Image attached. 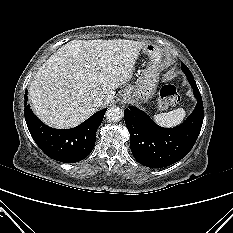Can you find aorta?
I'll return each instance as SVG.
<instances>
[{
    "instance_id": "1",
    "label": "aorta",
    "mask_w": 233,
    "mask_h": 233,
    "mask_svg": "<svg viewBox=\"0 0 233 233\" xmlns=\"http://www.w3.org/2000/svg\"><path fill=\"white\" fill-rule=\"evenodd\" d=\"M123 117V110L119 107H111L107 110L106 112V119L109 122H118L122 119Z\"/></svg>"
}]
</instances>
